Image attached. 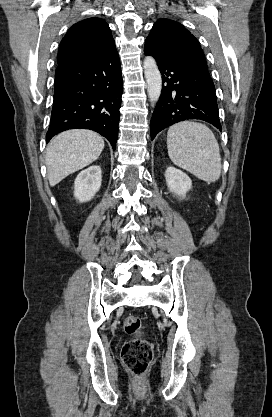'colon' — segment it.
I'll return each instance as SVG.
<instances>
[{
	"label": "colon",
	"instance_id": "5ec220e1",
	"mask_svg": "<svg viewBox=\"0 0 272 417\" xmlns=\"http://www.w3.org/2000/svg\"><path fill=\"white\" fill-rule=\"evenodd\" d=\"M124 331L132 338L126 341L122 347V362L132 375L140 378L146 373L152 361V346L142 337V322L138 316L126 317Z\"/></svg>",
	"mask_w": 272,
	"mask_h": 417
}]
</instances>
